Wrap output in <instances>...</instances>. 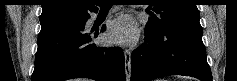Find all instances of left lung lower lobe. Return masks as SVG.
I'll return each mask as SVG.
<instances>
[{"mask_svg": "<svg viewBox=\"0 0 237 81\" xmlns=\"http://www.w3.org/2000/svg\"><path fill=\"white\" fill-rule=\"evenodd\" d=\"M145 35V43L131 55V81H150L169 75L212 81L201 26H170Z\"/></svg>", "mask_w": 237, "mask_h": 81, "instance_id": "1", "label": "left lung lower lobe"}]
</instances>
